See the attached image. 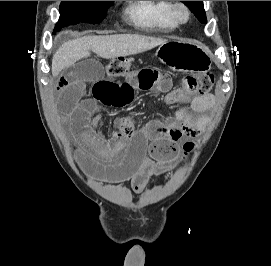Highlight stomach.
<instances>
[{
  "label": "stomach",
  "mask_w": 271,
  "mask_h": 266,
  "mask_svg": "<svg viewBox=\"0 0 271 266\" xmlns=\"http://www.w3.org/2000/svg\"><path fill=\"white\" fill-rule=\"evenodd\" d=\"M155 56L177 72H205L211 68L207 49L192 40H171L160 45Z\"/></svg>",
  "instance_id": "stomach-1"
}]
</instances>
